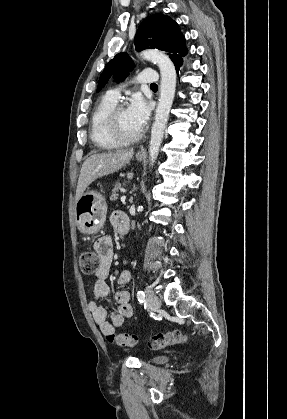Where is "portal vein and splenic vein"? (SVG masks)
Listing matches in <instances>:
<instances>
[{
  "label": "portal vein and splenic vein",
  "instance_id": "obj_1",
  "mask_svg": "<svg viewBox=\"0 0 287 419\" xmlns=\"http://www.w3.org/2000/svg\"><path fill=\"white\" fill-rule=\"evenodd\" d=\"M126 200V196L125 195H123L122 197H121V201L122 202H124Z\"/></svg>",
  "mask_w": 287,
  "mask_h": 419
}]
</instances>
